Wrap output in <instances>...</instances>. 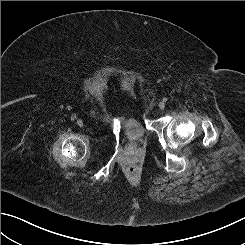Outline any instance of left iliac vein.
<instances>
[{"instance_id": "obj_1", "label": "left iliac vein", "mask_w": 245, "mask_h": 245, "mask_svg": "<svg viewBox=\"0 0 245 245\" xmlns=\"http://www.w3.org/2000/svg\"><path fill=\"white\" fill-rule=\"evenodd\" d=\"M164 107H165L164 102H160V103H159V108H160V109H164Z\"/></svg>"}]
</instances>
